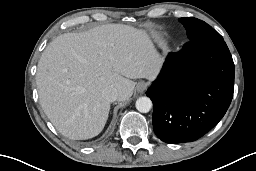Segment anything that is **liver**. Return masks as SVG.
Wrapping results in <instances>:
<instances>
[{"mask_svg":"<svg viewBox=\"0 0 256 171\" xmlns=\"http://www.w3.org/2000/svg\"><path fill=\"white\" fill-rule=\"evenodd\" d=\"M160 64L144 30L108 24L65 33L49 43L38 62L40 104L65 137L93 138L103 130L110 111L102 91L114 87L118 101H125L135 88L131 79L155 78Z\"/></svg>","mask_w":256,"mask_h":171,"instance_id":"1","label":"liver"}]
</instances>
